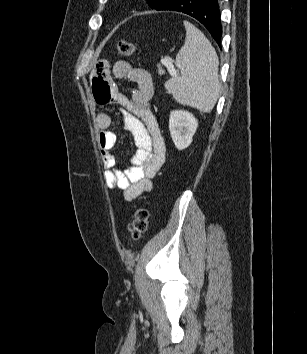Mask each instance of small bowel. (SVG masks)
Instances as JSON below:
<instances>
[{
  "label": "small bowel",
  "instance_id": "c3829d8e",
  "mask_svg": "<svg viewBox=\"0 0 307 354\" xmlns=\"http://www.w3.org/2000/svg\"><path fill=\"white\" fill-rule=\"evenodd\" d=\"M109 69L107 60L97 62L92 77L94 99L102 106L111 102L120 106V120L117 126L120 130L131 133L137 149L125 171L116 169L112 152L116 135L110 130L112 120L107 113H98L97 126L100 131L99 145L105 169L104 178L109 188L123 190L124 198L133 201L152 189V179L165 161L166 145L150 106L155 92L150 73L126 61L116 62L112 68L113 75L117 79L129 80L137 85L130 95L126 96L110 80Z\"/></svg>",
  "mask_w": 307,
  "mask_h": 354
}]
</instances>
